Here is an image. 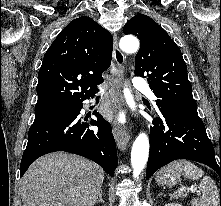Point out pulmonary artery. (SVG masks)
I'll list each match as a JSON object with an SVG mask.
<instances>
[{
	"mask_svg": "<svg viewBox=\"0 0 221 206\" xmlns=\"http://www.w3.org/2000/svg\"><path fill=\"white\" fill-rule=\"evenodd\" d=\"M133 86L136 90L144 92L153 102L156 100L155 94L151 91L147 81L142 77H134L133 78Z\"/></svg>",
	"mask_w": 221,
	"mask_h": 206,
	"instance_id": "pulmonary-artery-1",
	"label": "pulmonary artery"
}]
</instances>
